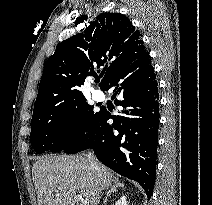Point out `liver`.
I'll return each mask as SVG.
<instances>
[{
  "label": "liver",
  "mask_w": 212,
  "mask_h": 205,
  "mask_svg": "<svg viewBox=\"0 0 212 205\" xmlns=\"http://www.w3.org/2000/svg\"><path fill=\"white\" fill-rule=\"evenodd\" d=\"M99 167L101 176L98 178L86 156H45L38 159L32 167L38 205H79L77 194L87 198L91 205H99L103 191L119 183L109 168L101 164Z\"/></svg>",
  "instance_id": "liver-1"
}]
</instances>
